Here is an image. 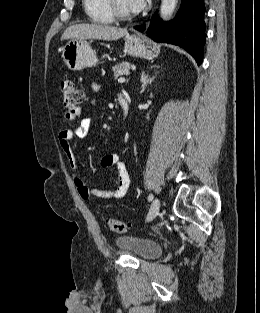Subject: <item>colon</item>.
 <instances>
[{"instance_id":"colon-1","label":"colon","mask_w":260,"mask_h":313,"mask_svg":"<svg viewBox=\"0 0 260 313\" xmlns=\"http://www.w3.org/2000/svg\"><path fill=\"white\" fill-rule=\"evenodd\" d=\"M63 95L64 106L69 111H74L85 102V95L82 89L72 79H63L60 85ZM106 223L109 229L116 233H124L129 230L130 224L121 220L107 218Z\"/></svg>"}]
</instances>
